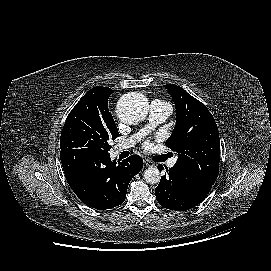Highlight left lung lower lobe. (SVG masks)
<instances>
[{"label":"left lung lower lobe","mask_w":271,"mask_h":271,"mask_svg":"<svg viewBox=\"0 0 271 271\" xmlns=\"http://www.w3.org/2000/svg\"><path fill=\"white\" fill-rule=\"evenodd\" d=\"M166 171L167 174L161 177L155 190L156 199L164 208L189 210L200 204L212 188V184L200 180L176 164L169 169L166 167Z\"/></svg>","instance_id":"left-lung-lower-lobe-1"}]
</instances>
